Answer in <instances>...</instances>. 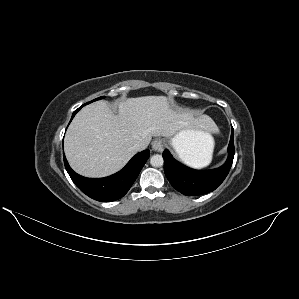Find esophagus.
<instances>
[{
  "mask_svg": "<svg viewBox=\"0 0 299 299\" xmlns=\"http://www.w3.org/2000/svg\"><path fill=\"white\" fill-rule=\"evenodd\" d=\"M165 146V143L162 139H155L152 142V149L156 152H161Z\"/></svg>",
  "mask_w": 299,
  "mask_h": 299,
  "instance_id": "34e87169",
  "label": "esophagus"
}]
</instances>
